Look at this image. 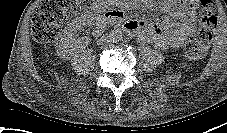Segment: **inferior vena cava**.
<instances>
[{"instance_id":"obj_1","label":"inferior vena cava","mask_w":227,"mask_h":133,"mask_svg":"<svg viewBox=\"0 0 227 133\" xmlns=\"http://www.w3.org/2000/svg\"><path fill=\"white\" fill-rule=\"evenodd\" d=\"M104 40H106V39H103V41H104ZM109 41H110L109 38H107V42H109Z\"/></svg>"}]
</instances>
